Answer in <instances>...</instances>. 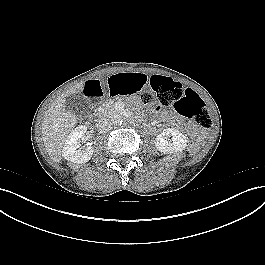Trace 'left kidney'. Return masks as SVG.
<instances>
[{
  "label": "left kidney",
  "mask_w": 265,
  "mask_h": 265,
  "mask_svg": "<svg viewBox=\"0 0 265 265\" xmlns=\"http://www.w3.org/2000/svg\"><path fill=\"white\" fill-rule=\"evenodd\" d=\"M168 136H172V141L167 140ZM186 146V136L175 128L164 129L163 132L155 138V147L164 154L181 152Z\"/></svg>",
  "instance_id": "1"
}]
</instances>
